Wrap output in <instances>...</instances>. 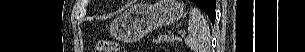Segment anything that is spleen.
Masks as SVG:
<instances>
[{
  "mask_svg": "<svg viewBox=\"0 0 305 52\" xmlns=\"http://www.w3.org/2000/svg\"><path fill=\"white\" fill-rule=\"evenodd\" d=\"M185 43L194 52H210L211 50L209 26L204 16L196 8L190 10L188 36L185 38Z\"/></svg>",
  "mask_w": 305,
  "mask_h": 52,
  "instance_id": "obj_1",
  "label": "spleen"
}]
</instances>
